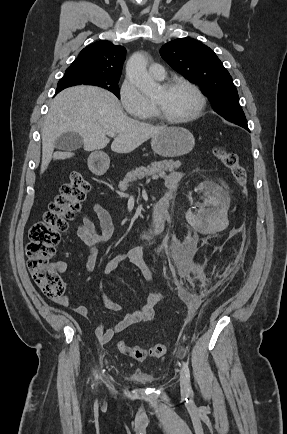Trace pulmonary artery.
<instances>
[{
    "label": "pulmonary artery",
    "instance_id": "e3ab8cb5",
    "mask_svg": "<svg viewBox=\"0 0 287 434\" xmlns=\"http://www.w3.org/2000/svg\"><path fill=\"white\" fill-rule=\"evenodd\" d=\"M148 72H149V75L156 80H162L165 78V69L159 63H153L149 67Z\"/></svg>",
    "mask_w": 287,
    "mask_h": 434
}]
</instances>
